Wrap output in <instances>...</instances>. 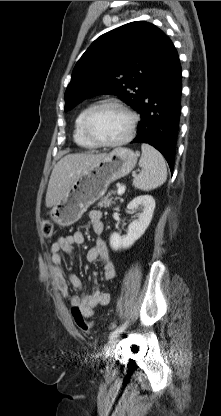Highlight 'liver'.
Segmentation results:
<instances>
[{
	"instance_id": "liver-1",
	"label": "liver",
	"mask_w": 221,
	"mask_h": 416,
	"mask_svg": "<svg viewBox=\"0 0 221 416\" xmlns=\"http://www.w3.org/2000/svg\"><path fill=\"white\" fill-rule=\"evenodd\" d=\"M106 153H76L61 158L54 166L46 193V207L56 205L76 178L87 168L100 161Z\"/></svg>"
}]
</instances>
